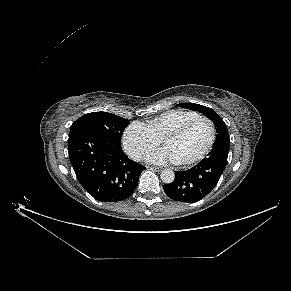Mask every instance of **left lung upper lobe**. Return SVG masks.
<instances>
[{
    "mask_svg": "<svg viewBox=\"0 0 291 291\" xmlns=\"http://www.w3.org/2000/svg\"><path fill=\"white\" fill-rule=\"evenodd\" d=\"M178 106L194 111H199L200 113H203L206 117H208L211 121H213L217 129V137L215 143L220 141L230 142L227 126L215 111L206 106L195 103H180L178 104Z\"/></svg>",
    "mask_w": 291,
    "mask_h": 291,
    "instance_id": "1",
    "label": "left lung upper lobe"
}]
</instances>
